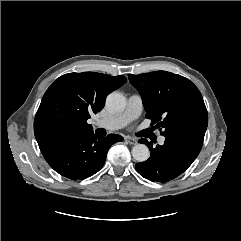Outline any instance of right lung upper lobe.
I'll return each instance as SVG.
<instances>
[{"label": "right lung upper lobe", "mask_w": 241, "mask_h": 241, "mask_svg": "<svg viewBox=\"0 0 241 241\" xmlns=\"http://www.w3.org/2000/svg\"><path fill=\"white\" fill-rule=\"evenodd\" d=\"M126 82L124 76L96 72L68 73L45 92L34 120L38 144L67 134L88 133L90 114L102 110L107 95Z\"/></svg>", "instance_id": "obj_1"}]
</instances>
